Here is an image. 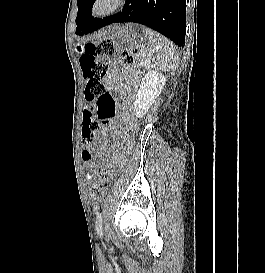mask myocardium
<instances>
[{
    "mask_svg": "<svg viewBox=\"0 0 265 273\" xmlns=\"http://www.w3.org/2000/svg\"><path fill=\"white\" fill-rule=\"evenodd\" d=\"M127 0H93L90 14L95 19H103L118 13L125 6Z\"/></svg>",
    "mask_w": 265,
    "mask_h": 273,
    "instance_id": "myocardium-1",
    "label": "myocardium"
}]
</instances>
